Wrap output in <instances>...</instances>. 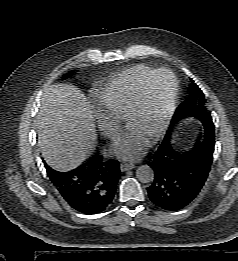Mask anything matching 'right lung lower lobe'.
<instances>
[{
	"mask_svg": "<svg viewBox=\"0 0 238 261\" xmlns=\"http://www.w3.org/2000/svg\"><path fill=\"white\" fill-rule=\"evenodd\" d=\"M48 176L62 197L75 210L97 214L112 203L118 180L119 163L93 155L85 164L68 172H58L44 164Z\"/></svg>",
	"mask_w": 238,
	"mask_h": 261,
	"instance_id": "98d812e1",
	"label": "right lung lower lobe"
}]
</instances>
